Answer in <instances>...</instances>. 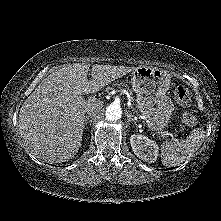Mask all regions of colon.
<instances>
[{"label":"colon","instance_id":"colon-1","mask_svg":"<svg viewBox=\"0 0 221 221\" xmlns=\"http://www.w3.org/2000/svg\"><path fill=\"white\" fill-rule=\"evenodd\" d=\"M174 95L176 101L181 105H188L191 101L190 92L188 88L183 85L176 87ZM182 123L186 127H194L196 124V119L191 113L185 112L182 115Z\"/></svg>","mask_w":221,"mask_h":221}]
</instances>
